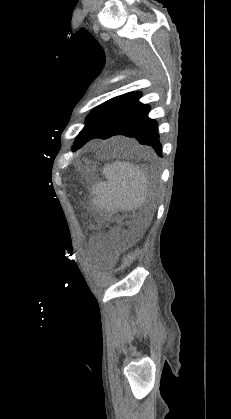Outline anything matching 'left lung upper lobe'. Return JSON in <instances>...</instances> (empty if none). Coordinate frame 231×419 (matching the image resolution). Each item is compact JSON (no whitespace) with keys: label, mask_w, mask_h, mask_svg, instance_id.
Masks as SVG:
<instances>
[{"label":"left lung upper lobe","mask_w":231,"mask_h":419,"mask_svg":"<svg viewBox=\"0 0 231 419\" xmlns=\"http://www.w3.org/2000/svg\"><path fill=\"white\" fill-rule=\"evenodd\" d=\"M133 92L126 93L124 95L114 97L101 105L97 106L88 116L86 119V123L84 128L81 130L79 135L76 138V141L74 143V147H77L82 140L86 137V135L108 114L110 113L114 108H116L118 105L126 101Z\"/></svg>","instance_id":"5c2ea615"}]
</instances>
